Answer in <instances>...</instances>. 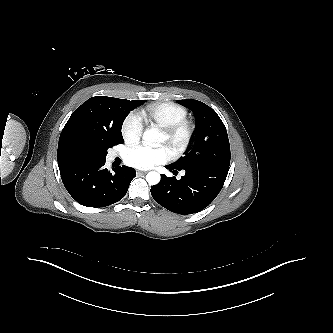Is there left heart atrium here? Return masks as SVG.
Segmentation results:
<instances>
[{"label":"left heart atrium","instance_id":"39dd6f15","mask_svg":"<svg viewBox=\"0 0 333 333\" xmlns=\"http://www.w3.org/2000/svg\"><path fill=\"white\" fill-rule=\"evenodd\" d=\"M169 158L170 153L164 147L150 148L142 145L130 147L124 154L126 163L139 169H148L165 163Z\"/></svg>","mask_w":333,"mask_h":333}]
</instances>
